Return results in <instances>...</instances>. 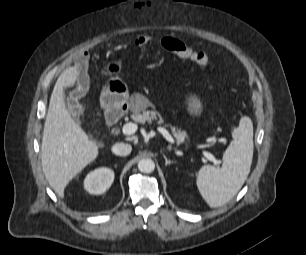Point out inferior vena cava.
<instances>
[{
  "instance_id": "602c4592",
  "label": "inferior vena cava",
  "mask_w": 306,
  "mask_h": 255,
  "mask_svg": "<svg viewBox=\"0 0 306 255\" xmlns=\"http://www.w3.org/2000/svg\"><path fill=\"white\" fill-rule=\"evenodd\" d=\"M132 146L125 143H116L112 146V152L118 156H127L131 153Z\"/></svg>"
}]
</instances>
